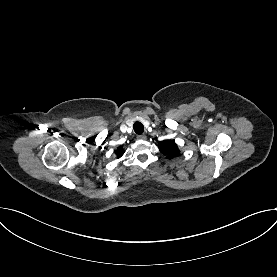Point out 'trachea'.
I'll return each instance as SVG.
<instances>
[{"label": "trachea", "instance_id": "trachea-1", "mask_svg": "<svg viewBox=\"0 0 277 277\" xmlns=\"http://www.w3.org/2000/svg\"><path fill=\"white\" fill-rule=\"evenodd\" d=\"M133 129L136 134L140 135L144 132V126L141 122L137 121L133 124Z\"/></svg>", "mask_w": 277, "mask_h": 277}]
</instances>
